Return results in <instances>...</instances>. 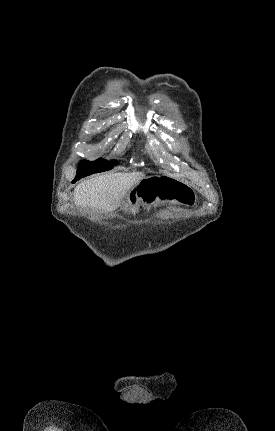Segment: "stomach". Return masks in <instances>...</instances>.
<instances>
[{"label":"stomach","mask_w":275,"mask_h":431,"mask_svg":"<svg viewBox=\"0 0 275 431\" xmlns=\"http://www.w3.org/2000/svg\"><path fill=\"white\" fill-rule=\"evenodd\" d=\"M197 199L196 193L187 183L169 175H152L144 177L132 187L122 206L131 212H135L140 204L147 209L165 204L192 208Z\"/></svg>","instance_id":"0dacf381"}]
</instances>
